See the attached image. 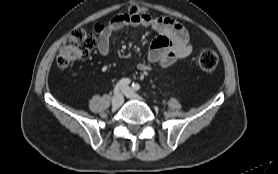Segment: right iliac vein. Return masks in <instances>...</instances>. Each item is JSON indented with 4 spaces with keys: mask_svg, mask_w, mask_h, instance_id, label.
Returning <instances> with one entry per match:
<instances>
[{
    "mask_svg": "<svg viewBox=\"0 0 278 174\" xmlns=\"http://www.w3.org/2000/svg\"><path fill=\"white\" fill-rule=\"evenodd\" d=\"M124 102V98L121 94H115L112 98V106L115 108H119Z\"/></svg>",
    "mask_w": 278,
    "mask_h": 174,
    "instance_id": "obj_1",
    "label": "right iliac vein"
}]
</instances>
